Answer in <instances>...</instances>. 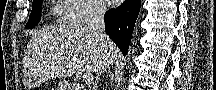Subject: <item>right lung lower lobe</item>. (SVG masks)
<instances>
[{
  "label": "right lung lower lobe",
  "instance_id": "1",
  "mask_svg": "<svg viewBox=\"0 0 216 90\" xmlns=\"http://www.w3.org/2000/svg\"><path fill=\"white\" fill-rule=\"evenodd\" d=\"M140 6V0H127L116 9L107 11L104 16L106 34L124 55L127 54Z\"/></svg>",
  "mask_w": 216,
  "mask_h": 90
}]
</instances>
